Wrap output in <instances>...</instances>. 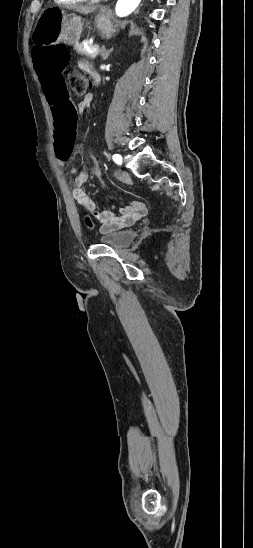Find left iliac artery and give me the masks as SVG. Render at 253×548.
Masks as SVG:
<instances>
[{"label":"left iliac artery","instance_id":"44dca946","mask_svg":"<svg viewBox=\"0 0 253 548\" xmlns=\"http://www.w3.org/2000/svg\"><path fill=\"white\" fill-rule=\"evenodd\" d=\"M112 159H113V161H114L116 164H118V165H121V164H122V157H121V155H119V154H114V155L112 156Z\"/></svg>","mask_w":253,"mask_h":548}]
</instances>
